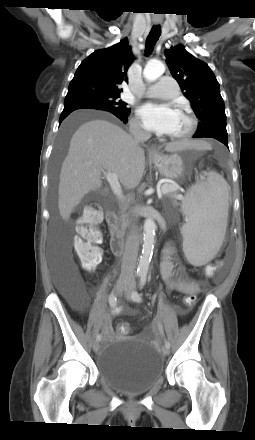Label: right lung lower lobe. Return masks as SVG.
I'll list each match as a JSON object with an SVG mask.
<instances>
[{
	"mask_svg": "<svg viewBox=\"0 0 255 440\" xmlns=\"http://www.w3.org/2000/svg\"><path fill=\"white\" fill-rule=\"evenodd\" d=\"M78 109H97V110H105L108 111L112 114H114L115 116H117L121 121H123L124 123L127 122L128 119V114H121L117 111L114 110H109L106 109L104 107L101 106H92V105H68V106H64V110L61 113L60 119H59V123L61 124V122L73 111L78 110Z\"/></svg>",
	"mask_w": 255,
	"mask_h": 440,
	"instance_id": "98d812e1",
	"label": "right lung lower lobe"
}]
</instances>
